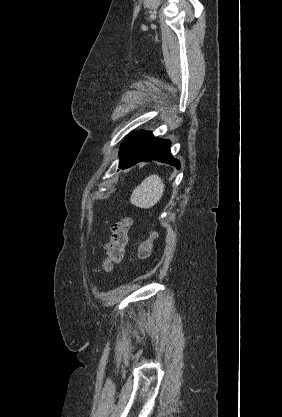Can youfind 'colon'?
I'll return each instance as SVG.
<instances>
[{
    "instance_id": "colon-1",
    "label": "colon",
    "mask_w": 282,
    "mask_h": 417,
    "mask_svg": "<svg viewBox=\"0 0 282 417\" xmlns=\"http://www.w3.org/2000/svg\"><path fill=\"white\" fill-rule=\"evenodd\" d=\"M130 223V217H125L111 223L110 239L107 243L105 256L101 261L102 269L109 270L113 265L122 261L125 247L128 243ZM155 240V233L140 240L137 245L136 258L131 259V263H134L136 260L147 259L151 254Z\"/></svg>"
}]
</instances>
